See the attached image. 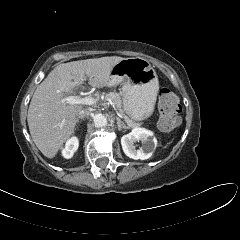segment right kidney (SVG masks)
Segmentation results:
<instances>
[{"instance_id":"1","label":"right kidney","mask_w":240,"mask_h":240,"mask_svg":"<svg viewBox=\"0 0 240 240\" xmlns=\"http://www.w3.org/2000/svg\"><path fill=\"white\" fill-rule=\"evenodd\" d=\"M79 146V141L77 137L70 138L65 145V148L62 150V155L64 158L69 159L73 156L74 152L77 151Z\"/></svg>"}]
</instances>
